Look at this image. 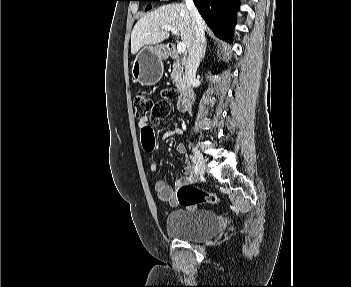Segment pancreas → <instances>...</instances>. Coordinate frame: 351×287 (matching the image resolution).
<instances>
[{"label":"pancreas","instance_id":"pancreas-1","mask_svg":"<svg viewBox=\"0 0 351 287\" xmlns=\"http://www.w3.org/2000/svg\"><path fill=\"white\" fill-rule=\"evenodd\" d=\"M173 59L175 61L173 63L171 78L173 80V83L177 87L178 91H183L185 89V83H186L185 77L183 75V65H181V62L177 55H174Z\"/></svg>","mask_w":351,"mask_h":287}]
</instances>
